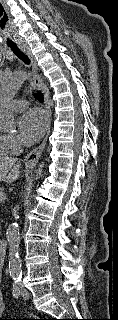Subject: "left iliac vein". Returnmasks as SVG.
Here are the masks:
<instances>
[{"label":"left iliac vein","instance_id":"left-iliac-vein-1","mask_svg":"<svg viewBox=\"0 0 118 320\" xmlns=\"http://www.w3.org/2000/svg\"><path fill=\"white\" fill-rule=\"evenodd\" d=\"M20 287H21V296H22V298H24L25 300L29 299L30 298V294H29V292L27 291V289L24 287V285L22 283H21Z\"/></svg>","mask_w":118,"mask_h":320}]
</instances>
